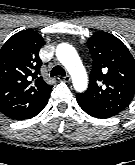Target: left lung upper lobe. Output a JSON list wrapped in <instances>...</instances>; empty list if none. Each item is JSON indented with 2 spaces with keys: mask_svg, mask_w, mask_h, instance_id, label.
I'll return each mask as SVG.
<instances>
[{
  "mask_svg": "<svg viewBox=\"0 0 135 165\" xmlns=\"http://www.w3.org/2000/svg\"><path fill=\"white\" fill-rule=\"evenodd\" d=\"M93 65L86 92L77 94L82 104L110 116L123 111L135 94V61L127 47L107 32L94 33L88 39Z\"/></svg>",
  "mask_w": 135,
  "mask_h": 165,
  "instance_id": "obj_1",
  "label": "left lung upper lobe"
}]
</instances>
